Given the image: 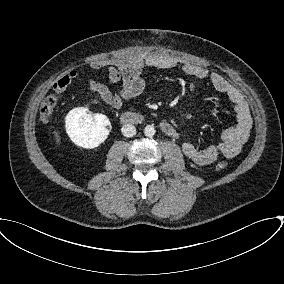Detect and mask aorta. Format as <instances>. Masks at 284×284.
Masks as SVG:
<instances>
[{
	"mask_svg": "<svg viewBox=\"0 0 284 284\" xmlns=\"http://www.w3.org/2000/svg\"><path fill=\"white\" fill-rule=\"evenodd\" d=\"M144 134L147 137H153L155 135V128L152 125H147L144 129Z\"/></svg>",
	"mask_w": 284,
	"mask_h": 284,
	"instance_id": "1",
	"label": "aorta"
}]
</instances>
